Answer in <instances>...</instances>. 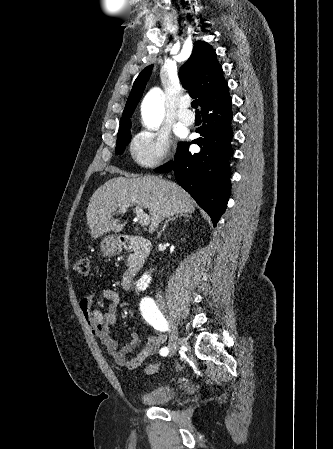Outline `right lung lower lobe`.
I'll use <instances>...</instances> for the list:
<instances>
[{
    "instance_id": "98d812e1",
    "label": "right lung lower lobe",
    "mask_w": 333,
    "mask_h": 449,
    "mask_svg": "<svg viewBox=\"0 0 333 449\" xmlns=\"http://www.w3.org/2000/svg\"><path fill=\"white\" fill-rule=\"evenodd\" d=\"M231 105L228 87L205 101L201 105L203 124L196 130L201 136L192 141L201 151L191 154L190 143L181 142L174 161L155 169L158 173L173 171L178 184L210 215L214 226L225 211L230 195Z\"/></svg>"
}]
</instances>
